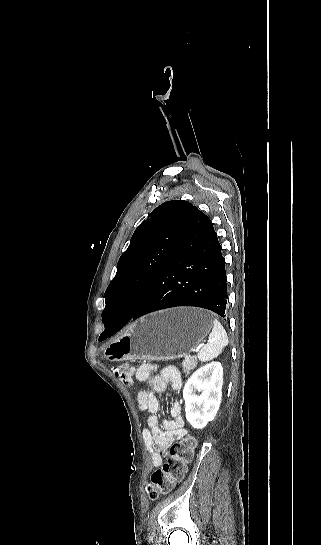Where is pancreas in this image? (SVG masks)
Returning <instances> with one entry per match:
<instances>
[{"mask_svg": "<svg viewBox=\"0 0 321 545\" xmlns=\"http://www.w3.org/2000/svg\"><path fill=\"white\" fill-rule=\"evenodd\" d=\"M182 371L185 373L186 377L189 375L190 371H193L195 367H197L196 359L194 357H191V359H186V361H182Z\"/></svg>", "mask_w": 321, "mask_h": 545, "instance_id": "pancreas-1", "label": "pancreas"}]
</instances>
